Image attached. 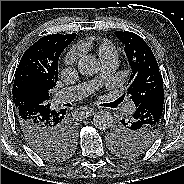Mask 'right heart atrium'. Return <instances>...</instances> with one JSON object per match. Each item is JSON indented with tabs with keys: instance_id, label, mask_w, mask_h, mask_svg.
Returning a JSON list of instances; mask_svg holds the SVG:
<instances>
[{
	"instance_id": "d8ad5b80",
	"label": "right heart atrium",
	"mask_w": 184,
	"mask_h": 184,
	"mask_svg": "<svg viewBox=\"0 0 184 184\" xmlns=\"http://www.w3.org/2000/svg\"><path fill=\"white\" fill-rule=\"evenodd\" d=\"M83 50L80 46L73 47L65 56V63L67 65H73L80 58Z\"/></svg>"
}]
</instances>
